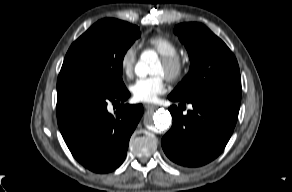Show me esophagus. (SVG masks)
<instances>
[{"instance_id": "esophagus-1", "label": "esophagus", "mask_w": 292, "mask_h": 192, "mask_svg": "<svg viewBox=\"0 0 292 192\" xmlns=\"http://www.w3.org/2000/svg\"><path fill=\"white\" fill-rule=\"evenodd\" d=\"M144 107L149 110V109H155L157 106L154 104H145Z\"/></svg>"}]
</instances>
